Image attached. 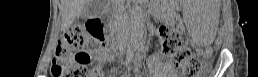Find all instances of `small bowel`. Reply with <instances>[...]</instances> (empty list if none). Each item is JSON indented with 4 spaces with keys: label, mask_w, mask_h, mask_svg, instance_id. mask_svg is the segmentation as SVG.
<instances>
[{
    "label": "small bowel",
    "mask_w": 258,
    "mask_h": 77,
    "mask_svg": "<svg viewBox=\"0 0 258 77\" xmlns=\"http://www.w3.org/2000/svg\"><path fill=\"white\" fill-rule=\"evenodd\" d=\"M91 56H92L93 60L95 62H97L98 64H103V63H106V62H110L113 59V55L110 52H108L107 50L102 49V48L94 49L91 52ZM100 73L101 72L98 69L96 71V74L99 75ZM165 73L170 75V74H173L174 72L169 70V68L167 67V71Z\"/></svg>",
    "instance_id": "obj_1"
}]
</instances>
